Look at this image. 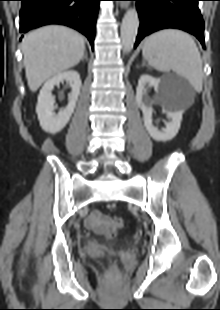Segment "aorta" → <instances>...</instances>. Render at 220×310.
<instances>
[{
  "label": "aorta",
  "instance_id": "762f6f07",
  "mask_svg": "<svg viewBox=\"0 0 220 310\" xmlns=\"http://www.w3.org/2000/svg\"><path fill=\"white\" fill-rule=\"evenodd\" d=\"M139 27V17L135 9H129L122 20L121 25V41L123 45V51L128 53L132 50L137 31Z\"/></svg>",
  "mask_w": 220,
  "mask_h": 310
}]
</instances>
